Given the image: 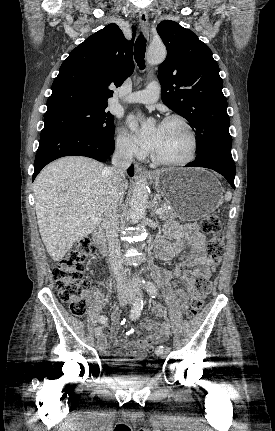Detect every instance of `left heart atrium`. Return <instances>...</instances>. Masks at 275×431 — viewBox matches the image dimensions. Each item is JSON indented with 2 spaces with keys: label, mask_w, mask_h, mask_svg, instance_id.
Listing matches in <instances>:
<instances>
[{
  "label": "left heart atrium",
  "mask_w": 275,
  "mask_h": 431,
  "mask_svg": "<svg viewBox=\"0 0 275 431\" xmlns=\"http://www.w3.org/2000/svg\"><path fill=\"white\" fill-rule=\"evenodd\" d=\"M129 122L135 133L136 140L144 147L154 150L159 142L162 125H158L151 133H145L140 129L139 119L137 117H131Z\"/></svg>",
  "instance_id": "left-heart-atrium-1"
}]
</instances>
